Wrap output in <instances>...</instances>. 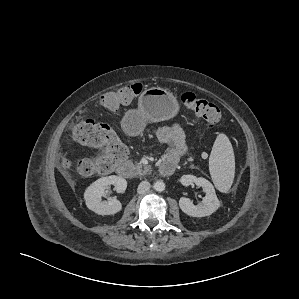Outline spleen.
<instances>
[{"mask_svg": "<svg viewBox=\"0 0 299 299\" xmlns=\"http://www.w3.org/2000/svg\"><path fill=\"white\" fill-rule=\"evenodd\" d=\"M209 170L215 186L227 192L234 179L235 157L229 138L221 133L217 136L210 157Z\"/></svg>", "mask_w": 299, "mask_h": 299, "instance_id": "3e777b00", "label": "spleen"}]
</instances>
